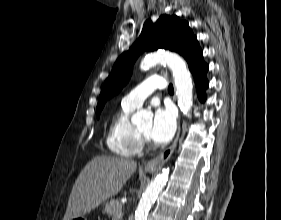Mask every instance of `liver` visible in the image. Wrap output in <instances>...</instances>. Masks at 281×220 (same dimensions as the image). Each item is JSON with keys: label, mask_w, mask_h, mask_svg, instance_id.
Segmentation results:
<instances>
[{"label": "liver", "mask_w": 281, "mask_h": 220, "mask_svg": "<svg viewBox=\"0 0 281 220\" xmlns=\"http://www.w3.org/2000/svg\"><path fill=\"white\" fill-rule=\"evenodd\" d=\"M131 159L101 155L89 161L77 177L63 220L82 217L115 196L136 171Z\"/></svg>", "instance_id": "obj_1"}]
</instances>
